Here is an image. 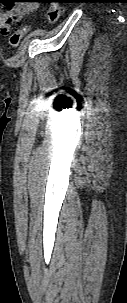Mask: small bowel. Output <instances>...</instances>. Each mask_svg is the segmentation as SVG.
Instances as JSON below:
<instances>
[{"label": "small bowel", "mask_w": 127, "mask_h": 303, "mask_svg": "<svg viewBox=\"0 0 127 303\" xmlns=\"http://www.w3.org/2000/svg\"><path fill=\"white\" fill-rule=\"evenodd\" d=\"M18 5H12L7 10L0 11V31L4 35H8L11 25L18 21L26 14L33 13L37 10L38 4L36 0H23Z\"/></svg>", "instance_id": "c3829d8e"}]
</instances>
